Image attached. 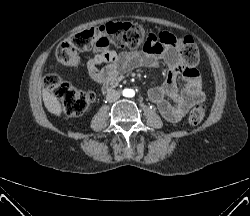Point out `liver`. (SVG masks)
Returning <instances> with one entry per match:
<instances>
[{"label":"liver","mask_w":250,"mask_h":216,"mask_svg":"<svg viewBox=\"0 0 250 216\" xmlns=\"http://www.w3.org/2000/svg\"><path fill=\"white\" fill-rule=\"evenodd\" d=\"M42 97L47 110L54 115L60 116L62 107L58 99L54 95L50 94L46 89L42 91Z\"/></svg>","instance_id":"6515ba94"}]
</instances>
